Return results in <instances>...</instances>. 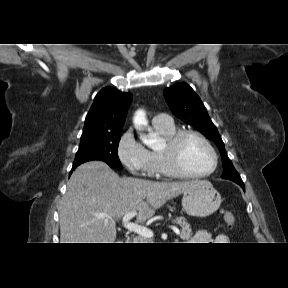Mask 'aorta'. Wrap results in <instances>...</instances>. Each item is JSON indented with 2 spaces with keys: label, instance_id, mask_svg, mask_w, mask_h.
<instances>
[{
  "label": "aorta",
  "instance_id": "aorta-1",
  "mask_svg": "<svg viewBox=\"0 0 288 288\" xmlns=\"http://www.w3.org/2000/svg\"><path fill=\"white\" fill-rule=\"evenodd\" d=\"M133 123L138 131H141L144 126L148 124L146 113L143 110H138L133 118ZM141 141L150 148L156 146V140L146 135L140 134Z\"/></svg>",
  "mask_w": 288,
  "mask_h": 288
}]
</instances>
